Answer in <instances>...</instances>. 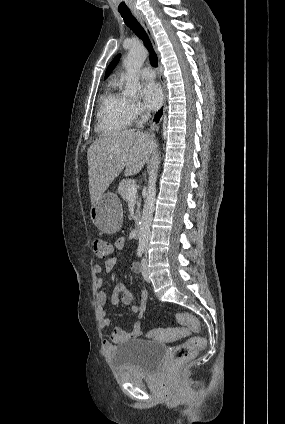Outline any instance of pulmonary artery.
Segmentation results:
<instances>
[{
    "label": "pulmonary artery",
    "instance_id": "1",
    "mask_svg": "<svg viewBox=\"0 0 285 424\" xmlns=\"http://www.w3.org/2000/svg\"><path fill=\"white\" fill-rule=\"evenodd\" d=\"M140 75L145 80H153L155 78V72L150 67H144L140 70Z\"/></svg>",
    "mask_w": 285,
    "mask_h": 424
}]
</instances>
